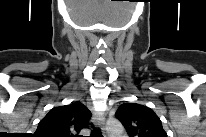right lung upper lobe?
I'll return each instance as SVG.
<instances>
[{
	"label": "right lung upper lobe",
	"instance_id": "right-lung-upper-lobe-1",
	"mask_svg": "<svg viewBox=\"0 0 206 137\" xmlns=\"http://www.w3.org/2000/svg\"><path fill=\"white\" fill-rule=\"evenodd\" d=\"M91 113L81 103H72L51 109L39 122L37 137H74L88 127Z\"/></svg>",
	"mask_w": 206,
	"mask_h": 137
}]
</instances>
